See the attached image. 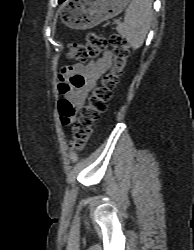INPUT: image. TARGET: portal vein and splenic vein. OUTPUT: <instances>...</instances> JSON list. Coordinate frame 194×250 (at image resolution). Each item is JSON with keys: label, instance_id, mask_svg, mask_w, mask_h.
<instances>
[{"label": "portal vein and splenic vein", "instance_id": "portal-vein-and-splenic-vein-1", "mask_svg": "<svg viewBox=\"0 0 194 250\" xmlns=\"http://www.w3.org/2000/svg\"><path fill=\"white\" fill-rule=\"evenodd\" d=\"M116 24H120V20H117V21H116Z\"/></svg>", "mask_w": 194, "mask_h": 250}]
</instances>
